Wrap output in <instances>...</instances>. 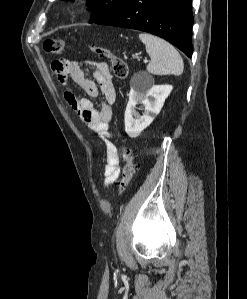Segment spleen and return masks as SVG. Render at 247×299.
<instances>
[{"instance_id": "1", "label": "spleen", "mask_w": 247, "mask_h": 299, "mask_svg": "<svg viewBox=\"0 0 247 299\" xmlns=\"http://www.w3.org/2000/svg\"><path fill=\"white\" fill-rule=\"evenodd\" d=\"M139 39L145 44L151 58L147 71L154 75H181L184 63L179 52L167 41L151 34L141 33Z\"/></svg>"}]
</instances>
